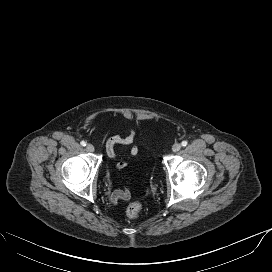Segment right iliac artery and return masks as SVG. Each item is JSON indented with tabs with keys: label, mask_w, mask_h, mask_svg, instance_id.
<instances>
[{
	"label": "right iliac artery",
	"mask_w": 272,
	"mask_h": 272,
	"mask_svg": "<svg viewBox=\"0 0 272 272\" xmlns=\"http://www.w3.org/2000/svg\"><path fill=\"white\" fill-rule=\"evenodd\" d=\"M80 144H81L82 146H86V142H85V141H81Z\"/></svg>",
	"instance_id": "82829eb1"
}]
</instances>
